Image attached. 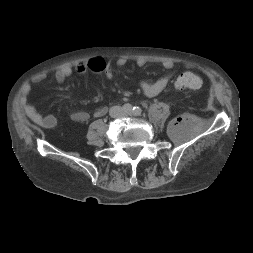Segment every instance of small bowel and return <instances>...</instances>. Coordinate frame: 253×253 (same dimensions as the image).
I'll list each match as a JSON object with an SVG mask.
<instances>
[{
    "label": "small bowel",
    "instance_id": "obj_1",
    "mask_svg": "<svg viewBox=\"0 0 253 253\" xmlns=\"http://www.w3.org/2000/svg\"><path fill=\"white\" fill-rule=\"evenodd\" d=\"M128 59L125 57H119L114 61V64L118 67L126 65ZM89 62H79L77 63L74 68L70 66H65L58 69L55 72V79L57 82L62 83L64 82L72 73L73 71L77 72L78 74H84L89 69L88 67ZM136 64L140 67L146 64V60L143 58H139L136 60ZM162 67L166 70H171L174 67V63L171 60H164L161 63ZM105 75L108 78L113 76L112 69L110 65H107V70ZM173 74H166L155 81H144L141 83V89L147 97H155L159 95L173 80ZM45 79L44 74L37 75L33 78L34 83H40ZM31 86L29 84L25 85L22 89V97H21V105L22 108L27 115V117L36 125L44 128V129H52L57 124V119L52 114L44 115L40 113L36 107L30 102L29 95L31 93ZM107 113V108L102 106L95 109L92 113L83 110H77L71 113L70 117L75 122H86L91 117L100 118L103 117Z\"/></svg>",
    "mask_w": 253,
    "mask_h": 253
}]
</instances>
